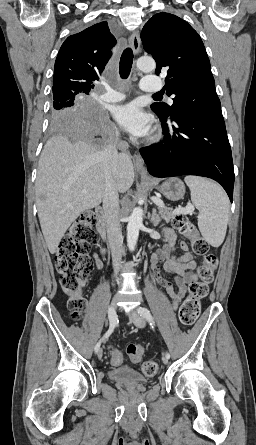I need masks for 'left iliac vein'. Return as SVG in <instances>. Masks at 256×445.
<instances>
[{
    "label": "left iliac vein",
    "instance_id": "obj_1",
    "mask_svg": "<svg viewBox=\"0 0 256 445\" xmlns=\"http://www.w3.org/2000/svg\"><path fill=\"white\" fill-rule=\"evenodd\" d=\"M129 317L130 320L134 323V325L138 328H144L145 327V319L144 317L140 314L139 312V308L135 311H131L129 313ZM162 362L167 365L169 362V359L164 355L162 357Z\"/></svg>",
    "mask_w": 256,
    "mask_h": 445
}]
</instances>
